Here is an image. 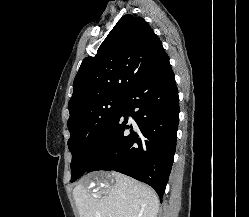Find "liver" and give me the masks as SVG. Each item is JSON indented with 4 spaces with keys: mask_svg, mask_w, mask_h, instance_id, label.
Here are the masks:
<instances>
[{
    "mask_svg": "<svg viewBox=\"0 0 249 217\" xmlns=\"http://www.w3.org/2000/svg\"><path fill=\"white\" fill-rule=\"evenodd\" d=\"M97 185L95 193L88 185ZM80 217H157L159 199L145 184L118 172H97L73 190Z\"/></svg>",
    "mask_w": 249,
    "mask_h": 217,
    "instance_id": "liver-1",
    "label": "liver"
}]
</instances>
